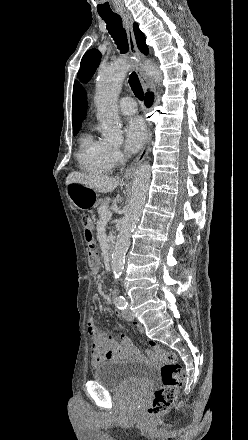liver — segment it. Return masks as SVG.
Instances as JSON below:
<instances>
[{"mask_svg":"<svg viewBox=\"0 0 248 440\" xmlns=\"http://www.w3.org/2000/svg\"><path fill=\"white\" fill-rule=\"evenodd\" d=\"M79 183L97 192L109 193L116 189L119 184L118 177L93 175L81 172H71L66 178V185Z\"/></svg>","mask_w":248,"mask_h":440,"instance_id":"obj_1","label":"liver"}]
</instances>
